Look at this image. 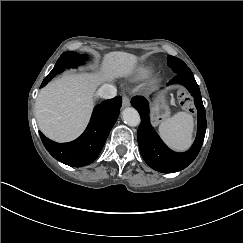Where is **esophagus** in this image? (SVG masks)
I'll list each match as a JSON object with an SVG mask.
<instances>
[{"mask_svg":"<svg viewBox=\"0 0 243 243\" xmlns=\"http://www.w3.org/2000/svg\"><path fill=\"white\" fill-rule=\"evenodd\" d=\"M130 106V99L128 96H123V107Z\"/></svg>","mask_w":243,"mask_h":243,"instance_id":"1","label":"esophagus"}]
</instances>
